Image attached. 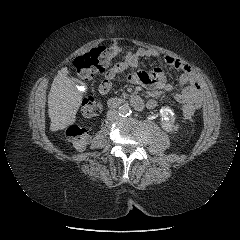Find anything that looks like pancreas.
<instances>
[{"mask_svg":"<svg viewBox=\"0 0 240 240\" xmlns=\"http://www.w3.org/2000/svg\"><path fill=\"white\" fill-rule=\"evenodd\" d=\"M126 96H127V94H126V93H123V94H122V97H123V98H125Z\"/></svg>","mask_w":240,"mask_h":240,"instance_id":"cf45deb5","label":"pancreas"}]
</instances>
